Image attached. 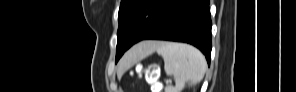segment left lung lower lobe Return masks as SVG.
I'll return each instance as SVG.
<instances>
[{
	"label": "left lung lower lobe",
	"instance_id": "0a47b994",
	"mask_svg": "<svg viewBox=\"0 0 296 92\" xmlns=\"http://www.w3.org/2000/svg\"><path fill=\"white\" fill-rule=\"evenodd\" d=\"M209 0H170L159 25L144 39L186 42L211 57Z\"/></svg>",
	"mask_w": 296,
	"mask_h": 92
}]
</instances>
